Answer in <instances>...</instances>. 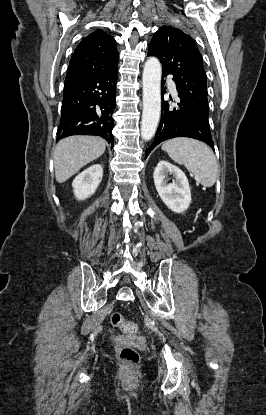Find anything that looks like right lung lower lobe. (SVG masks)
Returning <instances> with one entry per match:
<instances>
[{"instance_id": "1", "label": "right lung lower lobe", "mask_w": 266, "mask_h": 415, "mask_svg": "<svg viewBox=\"0 0 266 415\" xmlns=\"http://www.w3.org/2000/svg\"><path fill=\"white\" fill-rule=\"evenodd\" d=\"M118 66L98 76L66 83L57 141L71 135H97L113 147Z\"/></svg>"}]
</instances>
